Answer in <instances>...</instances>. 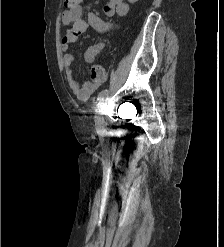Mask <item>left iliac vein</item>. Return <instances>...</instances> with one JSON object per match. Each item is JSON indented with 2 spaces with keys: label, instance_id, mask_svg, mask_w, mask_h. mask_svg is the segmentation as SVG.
<instances>
[{
  "label": "left iliac vein",
  "instance_id": "obj_1",
  "mask_svg": "<svg viewBox=\"0 0 224 247\" xmlns=\"http://www.w3.org/2000/svg\"><path fill=\"white\" fill-rule=\"evenodd\" d=\"M106 108V101L103 98L97 108V116H96V129L98 131H102L104 129L105 121H104V113Z\"/></svg>",
  "mask_w": 224,
  "mask_h": 247
}]
</instances>
